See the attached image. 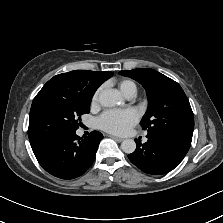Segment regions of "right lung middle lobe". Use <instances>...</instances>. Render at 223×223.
<instances>
[{
  "mask_svg": "<svg viewBox=\"0 0 223 223\" xmlns=\"http://www.w3.org/2000/svg\"><path fill=\"white\" fill-rule=\"evenodd\" d=\"M92 99L42 88L32 102L28 137L31 145L75 132Z\"/></svg>",
  "mask_w": 223,
  "mask_h": 223,
  "instance_id": "obj_1",
  "label": "right lung middle lobe"
}]
</instances>
